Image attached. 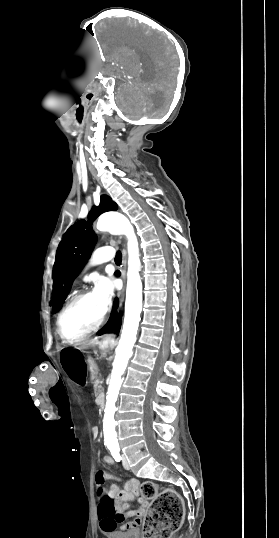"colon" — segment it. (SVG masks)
<instances>
[{
  "mask_svg": "<svg viewBox=\"0 0 279 538\" xmlns=\"http://www.w3.org/2000/svg\"><path fill=\"white\" fill-rule=\"evenodd\" d=\"M98 511L101 518L113 517L116 507L113 499L104 486L105 475L97 472L95 475ZM141 495L151 500V505L145 517L143 538H170L181 526L184 517V503L179 493L166 488L158 492V486L153 482H145L141 486Z\"/></svg>",
  "mask_w": 279,
  "mask_h": 538,
  "instance_id": "colon-1",
  "label": "colon"
}]
</instances>
